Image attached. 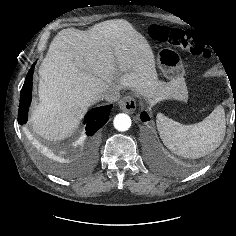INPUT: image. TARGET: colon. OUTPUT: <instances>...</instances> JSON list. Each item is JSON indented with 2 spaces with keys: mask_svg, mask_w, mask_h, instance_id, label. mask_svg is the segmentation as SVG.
<instances>
[{
  "mask_svg": "<svg viewBox=\"0 0 236 236\" xmlns=\"http://www.w3.org/2000/svg\"><path fill=\"white\" fill-rule=\"evenodd\" d=\"M150 34L154 39L185 50L192 55L204 59H208L211 56L206 44L192 32L179 28L153 25Z\"/></svg>",
  "mask_w": 236,
  "mask_h": 236,
  "instance_id": "colon-1",
  "label": "colon"
}]
</instances>
